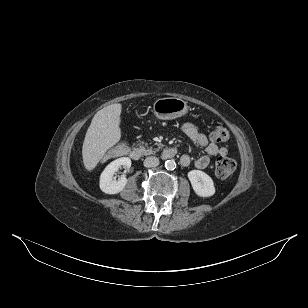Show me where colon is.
<instances>
[{"label":"colon","instance_id":"colon-1","mask_svg":"<svg viewBox=\"0 0 308 308\" xmlns=\"http://www.w3.org/2000/svg\"><path fill=\"white\" fill-rule=\"evenodd\" d=\"M211 139L215 142H226L229 139V132L222 124H216L211 132ZM131 148L128 144L123 143L116 145L112 150L105 154L104 161H109L111 157L116 159L126 156L130 153ZM236 168V163L231 158L220 156L215 165V174L220 179H226L232 175Z\"/></svg>","mask_w":308,"mask_h":308}]
</instances>
